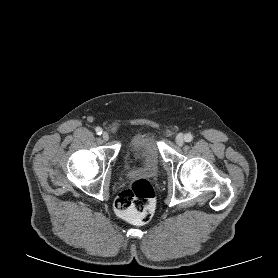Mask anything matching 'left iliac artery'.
<instances>
[{
  "label": "left iliac artery",
  "mask_w": 278,
  "mask_h": 278,
  "mask_svg": "<svg viewBox=\"0 0 278 278\" xmlns=\"http://www.w3.org/2000/svg\"><path fill=\"white\" fill-rule=\"evenodd\" d=\"M184 140L186 142H191L193 140V136L190 133H188L185 135Z\"/></svg>",
  "instance_id": "1"
}]
</instances>
